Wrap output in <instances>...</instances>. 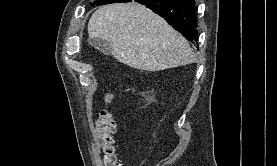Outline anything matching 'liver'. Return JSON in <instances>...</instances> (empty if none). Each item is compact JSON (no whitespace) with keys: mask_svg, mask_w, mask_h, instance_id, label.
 I'll return each instance as SVG.
<instances>
[{"mask_svg":"<svg viewBox=\"0 0 277 166\" xmlns=\"http://www.w3.org/2000/svg\"><path fill=\"white\" fill-rule=\"evenodd\" d=\"M88 35L108 41L119 62L139 70L161 71L196 61L179 32L134 2L100 7L89 19Z\"/></svg>","mask_w":277,"mask_h":166,"instance_id":"6515ba94","label":"liver"}]
</instances>
